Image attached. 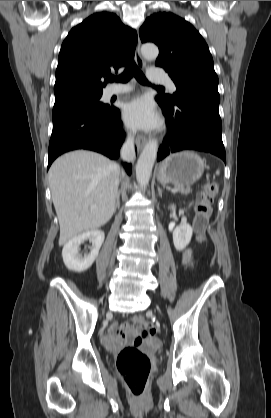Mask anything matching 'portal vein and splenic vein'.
<instances>
[{"label":"portal vein and splenic vein","mask_w":271,"mask_h":418,"mask_svg":"<svg viewBox=\"0 0 271 418\" xmlns=\"http://www.w3.org/2000/svg\"><path fill=\"white\" fill-rule=\"evenodd\" d=\"M171 191H172L173 193H175V192H177L178 190H177V188H173Z\"/></svg>","instance_id":"1"}]
</instances>
